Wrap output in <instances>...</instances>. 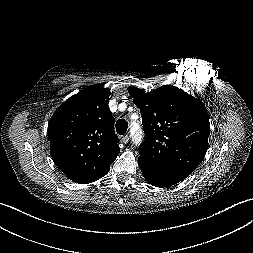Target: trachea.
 Returning a JSON list of instances; mask_svg holds the SVG:
<instances>
[{
  "mask_svg": "<svg viewBox=\"0 0 253 253\" xmlns=\"http://www.w3.org/2000/svg\"><path fill=\"white\" fill-rule=\"evenodd\" d=\"M128 123L124 119H119L116 122V131L119 135H124L127 131Z\"/></svg>",
  "mask_w": 253,
  "mask_h": 253,
  "instance_id": "obj_1",
  "label": "trachea"
}]
</instances>
